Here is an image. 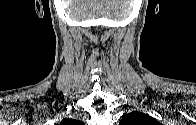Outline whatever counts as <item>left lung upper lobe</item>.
<instances>
[{
    "mask_svg": "<svg viewBox=\"0 0 196 125\" xmlns=\"http://www.w3.org/2000/svg\"><path fill=\"white\" fill-rule=\"evenodd\" d=\"M119 125H159V123L149 115L133 111L125 114Z\"/></svg>",
    "mask_w": 196,
    "mask_h": 125,
    "instance_id": "1",
    "label": "left lung upper lobe"
}]
</instances>
